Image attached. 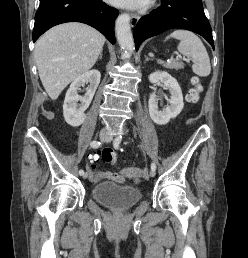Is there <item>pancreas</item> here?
<instances>
[{
	"label": "pancreas",
	"instance_id": "cf45deb5",
	"mask_svg": "<svg viewBox=\"0 0 248 258\" xmlns=\"http://www.w3.org/2000/svg\"><path fill=\"white\" fill-rule=\"evenodd\" d=\"M165 68L168 69H175V70H179V69H183L184 68V64L180 61H170L168 63H161Z\"/></svg>",
	"mask_w": 248,
	"mask_h": 258
}]
</instances>
